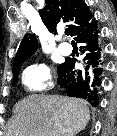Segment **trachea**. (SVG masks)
<instances>
[{
	"label": "trachea",
	"instance_id": "trachea-1",
	"mask_svg": "<svg viewBox=\"0 0 117 136\" xmlns=\"http://www.w3.org/2000/svg\"><path fill=\"white\" fill-rule=\"evenodd\" d=\"M65 34H66L67 36H69V35H70V31H69V29H66V30H65Z\"/></svg>",
	"mask_w": 117,
	"mask_h": 136
}]
</instances>
